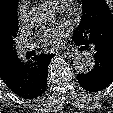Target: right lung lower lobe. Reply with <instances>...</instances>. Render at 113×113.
Returning <instances> with one entry per match:
<instances>
[{"label":"right lung lower lobe","mask_w":113,"mask_h":113,"mask_svg":"<svg viewBox=\"0 0 113 113\" xmlns=\"http://www.w3.org/2000/svg\"><path fill=\"white\" fill-rule=\"evenodd\" d=\"M53 56L40 54L27 62L16 59L12 73L4 80L5 84L24 99L39 97L47 87V67Z\"/></svg>","instance_id":"1"}]
</instances>
